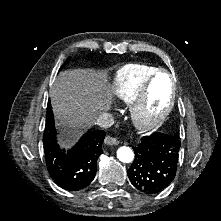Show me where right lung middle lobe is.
<instances>
[{"label": "right lung middle lobe", "mask_w": 221, "mask_h": 221, "mask_svg": "<svg viewBox=\"0 0 221 221\" xmlns=\"http://www.w3.org/2000/svg\"><path fill=\"white\" fill-rule=\"evenodd\" d=\"M68 60H69V59H67V61L64 63V65H66V64H67ZM64 65H63V66H64ZM63 66H62L61 68H63Z\"/></svg>", "instance_id": "obj_1"}]
</instances>
